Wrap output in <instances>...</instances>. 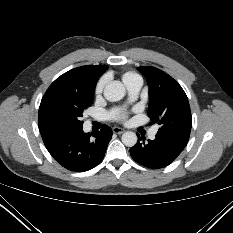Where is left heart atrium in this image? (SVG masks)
Masks as SVG:
<instances>
[{
	"instance_id": "left-heart-atrium-1",
	"label": "left heart atrium",
	"mask_w": 233,
	"mask_h": 233,
	"mask_svg": "<svg viewBox=\"0 0 233 233\" xmlns=\"http://www.w3.org/2000/svg\"><path fill=\"white\" fill-rule=\"evenodd\" d=\"M109 117L112 120L115 121H126L128 118V113L126 111H123L121 109H113L110 113H109Z\"/></svg>"
}]
</instances>
